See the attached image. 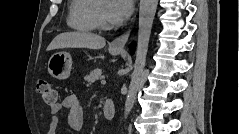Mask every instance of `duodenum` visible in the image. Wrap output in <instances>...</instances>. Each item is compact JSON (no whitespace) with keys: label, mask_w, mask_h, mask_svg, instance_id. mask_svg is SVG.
<instances>
[{"label":"duodenum","mask_w":239,"mask_h":134,"mask_svg":"<svg viewBox=\"0 0 239 134\" xmlns=\"http://www.w3.org/2000/svg\"><path fill=\"white\" fill-rule=\"evenodd\" d=\"M103 115L108 121H111L115 116V106L111 99L106 98L103 103Z\"/></svg>","instance_id":"1"}]
</instances>
